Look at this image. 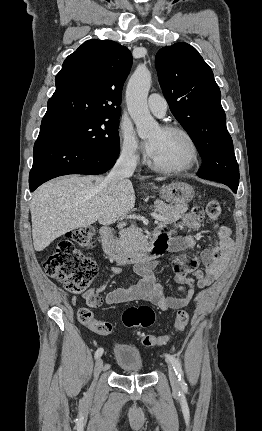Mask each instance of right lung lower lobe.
<instances>
[{"mask_svg": "<svg viewBox=\"0 0 262 431\" xmlns=\"http://www.w3.org/2000/svg\"><path fill=\"white\" fill-rule=\"evenodd\" d=\"M118 155L119 152L110 154L70 139L39 135L29 174L30 190L33 192L42 183L62 175L102 174L115 164Z\"/></svg>", "mask_w": 262, "mask_h": 431, "instance_id": "98d812e1", "label": "right lung lower lobe"}]
</instances>
